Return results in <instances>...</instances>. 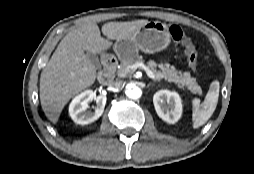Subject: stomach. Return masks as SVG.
I'll return each mask as SVG.
<instances>
[{"label": "stomach", "instance_id": "1", "mask_svg": "<svg viewBox=\"0 0 254 174\" xmlns=\"http://www.w3.org/2000/svg\"><path fill=\"white\" fill-rule=\"evenodd\" d=\"M170 43V34L166 24L159 21L148 22L135 34L117 40L114 51L120 60L135 58L139 50L154 53L165 49Z\"/></svg>", "mask_w": 254, "mask_h": 174}]
</instances>
